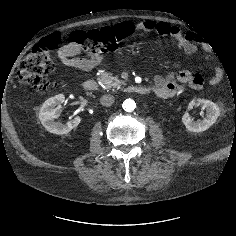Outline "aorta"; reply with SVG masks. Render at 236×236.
I'll list each match as a JSON object with an SVG mask.
<instances>
[{
    "label": "aorta",
    "mask_w": 236,
    "mask_h": 236,
    "mask_svg": "<svg viewBox=\"0 0 236 236\" xmlns=\"http://www.w3.org/2000/svg\"><path fill=\"white\" fill-rule=\"evenodd\" d=\"M122 107L124 109V111L126 112H132L135 110L136 108V103L134 100L132 99H126L123 104H122Z\"/></svg>",
    "instance_id": "aorta-1"
}]
</instances>
